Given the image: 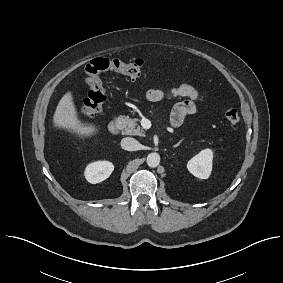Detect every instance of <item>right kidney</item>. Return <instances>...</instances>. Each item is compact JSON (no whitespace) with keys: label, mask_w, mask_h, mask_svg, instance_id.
<instances>
[{"label":"right kidney","mask_w":283,"mask_h":283,"mask_svg":"<svg viewBox=\"0 0 283 283\" xmlns=\"http://www.w3.org/2000/svg\"><path fill=\"white\" fill-rule=\"evenodd\" d=\"M114 170V165L109 161H97L89 164L84 172L88 182L96 184L106 180Z\"/></svg>","instance_id":"obj_1"}]
</instances>
